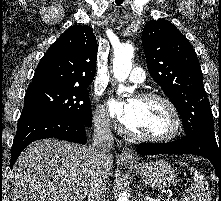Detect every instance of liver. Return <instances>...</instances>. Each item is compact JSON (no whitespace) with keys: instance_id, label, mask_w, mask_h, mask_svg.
Returning <instances> with one entry per match:
<instances>
[{"instance_id":"1","label":"liver","mask_w":221,"mask_h":201,"mask_svg":"<svg viewBox=\"0 0 221 201\" xmlns=\"http://www.w3.org/2000/svg\"><path fill=\"white\" fill-rule=\"evenodd\" d=\"M110 155L107 177L111 175ZM92 164L89 146L38 140L19 156L12 175V201H82L88 194Z\"/></svg>"}]
</instances>
